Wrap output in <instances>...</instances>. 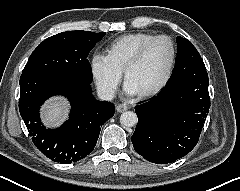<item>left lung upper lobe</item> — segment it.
Instances as JSON below:
<instances>
[{
  "instance_id": "1",
  "label": "left lung upper lobe",
  "mask_w": 240,
  "mask_h": 191,
  "mask_svg": "<svg viewBox=\"0 0 240 191\" xmlns=\"http://www.w3.org/2000/svg\"><path fill=\"white\" fill-rule=\"evenodd\" d=\"M177 48L176 66L181 65L183 67H194L206 70L199 52L189 40L177 37Z\"/></svg>"
}]
</instances>
